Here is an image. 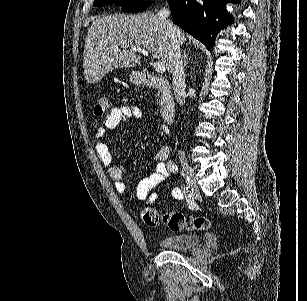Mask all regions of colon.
<instances>
[{"instance_id": "1", "label": "colon", "mask_w": 307, "mask_h": 301, "mask_svg": "<svg viewBox=\"0 0 307 301\" xmlns=\"http://www.w3.org/2000/svg\"><path fill=\"white\" fill-rule=\"evenodd\" d=\"M110 108V99L107 93L103 92L99 95L94 107L96 116L105 115ZM141 218L149 227H155L160 220L172 231L182 230H203L210 226L207 218L202 216H188L179 212H169L160 214L157 210L151 207H144L141 210Z\"/></svg>"}]
</instances>
